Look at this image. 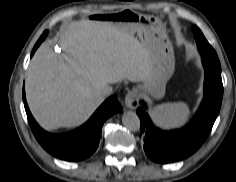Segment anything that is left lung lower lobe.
Wrapping results in <instances>:
<instances>
[{"mask_svg":"<svg viewBox=\"0 0 236 182\" xmlns=\"http://www.w3.org/2000/svg\"><path fill=\"white\" fill-rule=\"evenodd\" d=\"M222 97L221 72L205 68L204 97L198 112L184 128L170 132L154 127L145 110L146 104L142 102L137 114L141 121L144 150L148 158L157 163H169L187 158L196 152L212 129Z\"/></svg>","mask_w":236,"mask_h":182,"instance_id":"left-lung-lower-lobe-1","label":"left lung lower lobe"}]
</instances>
